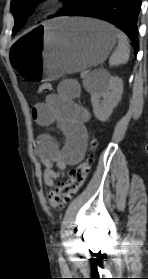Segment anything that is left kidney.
I'll use <instances>...</instances> for the list:
<instances>
[{
    "mask_svg": "<svg viewBox=\"0 0 148 279\" xmlns=\"http://www.w3.org/2000/svg\"><path fill=\"white\" fill-rule=\"evenodd\" d=\"M123 93V81L107 72L97 78L91 92V104L95 117L102 122L109 119ZM102 98V100H101Z\"/></svg>",
    "mask_w": 148,
    "mask_h": 279,
    "instance_id": "1",
    "label": "left kidney"
}]
</instances>
